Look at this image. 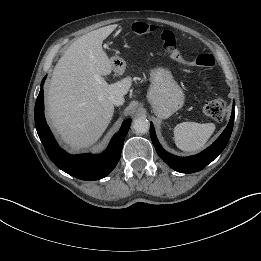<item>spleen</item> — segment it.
Returning <instances> with one entry per match:
<instances>
[{"label":"spleen","instance_id":"obj_1","mask_svg":"<svg viewBox=\"0 0 261 261\" xmlns=\"http://www.w3.org/2000/svg\"><path fill=\"white\" fill-rule=\"evenodd\" d=\"M215 131L213 123L182 122L174 128L176 146L186 152L201 150Z\"/></svg>","mask_w":261,"mask_h":261}]
</instances>
